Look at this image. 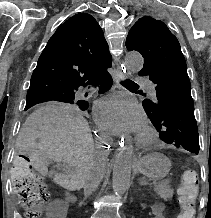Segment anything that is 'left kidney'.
Listing matches in <instances>:
<instances>
[{
  "instance_id": "left-kidney-1",
  "label": "left kidney",
  "mask_w": 211,
  "mask_h": 218,
  "mask_svg": "<svg viewBox=\"0 0 211 218\" xmlns=\"http://www.w3.org/2000/svg\"><path fill=\"white\" fill-rule=\"evenodd\" d=\"M156 207H152L150 210L151 218H163V215L166 214V211L163 210V207L166 206L165 202H156ZM139 210H144V205H139Z\"/></svg>"
}]
</instances>
